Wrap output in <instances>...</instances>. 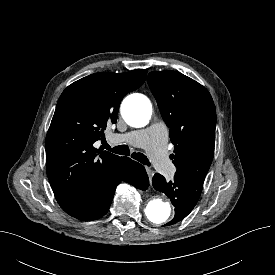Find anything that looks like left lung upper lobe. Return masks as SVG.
<instances>
[{
	"mask_svg": "<svg viewBox=\"0 0 275 275\" xmlns=\"http://www.w3.org/2000/svg\"><path fill=\"white\" fill-rule=\"evenodd\" d=\"M148 84L170 128L175 174L204 182L215 146L216 111L210 93L177 71L150 72Z\"/></svg>",
	"mask_w": 275,
	"mask_h": 275,
	"instance_id": "left-lung-upper-lobe-1",
	"label": "left lung upper lobe"
}]
</instances>
